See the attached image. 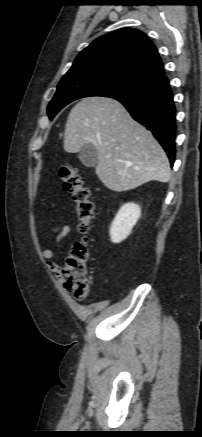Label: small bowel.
Wrapping results in <instances>:
<instances>
[{"instance_id":"c3829d8e","label":"small bowel","mask_w":202,"mask_h":437,"mask_svg":"<svg viewBox=\"0 0 202 437\" xmlns=\"http://www.w3.org/2000/svg\"><path fill=\"white\" fill-rule=\"evenodd\" d=\"M50 233L55 238L56 245L60 247L62 240L72 233V228L67 224H57L51 228ZM42 256L46 260V266L48 269L54 272L60 279V266L55 261V252L51 249H45L42 252Z\"/></svg>"}]
</instances>
